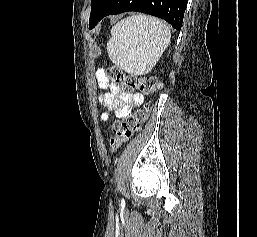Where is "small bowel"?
<instances>
[{
    "mask_svg": "<svg viewBox=\"0 0 257 237\" xmlns=\"http://www.w3.org/2000/svg\"><path fill=\"white\" fill-rule=\"evenodd\" d=\"M97 80L102 88H109V91L100 97L101 103L109 110H113L117 118H126L134 107L142 104L143 96L141 94L124 92L118 86L110 85L103 69L98 70ZM102 118L105 121L108 120V113H104Z\"/></svg>",
    "mask_w": 257,
    "mask_h": 237,
    "instance_id": "small-bowel-1",
    "label": "small bowel"
}]
</instances>
